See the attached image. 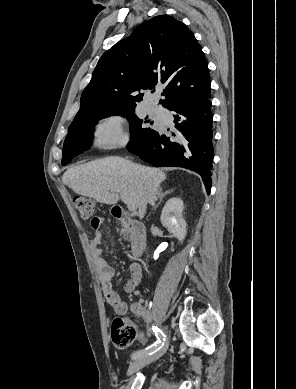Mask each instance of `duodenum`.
Wrapping results in <instances>:
<instances>
[{
	"mask_svg": "<svg viewBox=\"0 0 296 389\" xmlns=\"http://www.w3.org/2000/svg\"><path fill=\"white\" fill-rule=\"evenodd\" d=\"M112 214L118 220V222L127 230L129 239L132 243L133 256H141L145 247L146 231L144 226L138 221L132 219L127 214V212L119 206L113 207Z\"/></svg>",
	"mask_w": 296,
	"mask_h": 389,
	"instance_id": "1",
	"label": "duodenum"
}]
</instances>
